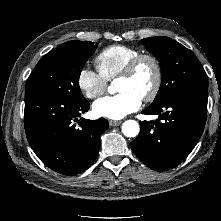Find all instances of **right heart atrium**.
Here are the masks:
<instances>
[{"instance_id":"obj_1","label":"right heart atrium","mask_w":221,"mask_h":221,"mask_svg":"<svg viewBox=\"0 0 221 221\" xmlns=\"http://www.w3.org/2000/svg\"><path fill=\"white\" fill-rule=\"evenodd\" d=\"M107 79L98 71L83 67L77 77V86L88 99H96L103 95L107 89Z\"/></svg>"}]
</instances>
